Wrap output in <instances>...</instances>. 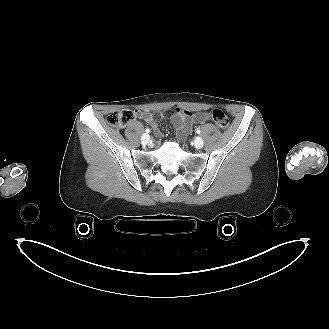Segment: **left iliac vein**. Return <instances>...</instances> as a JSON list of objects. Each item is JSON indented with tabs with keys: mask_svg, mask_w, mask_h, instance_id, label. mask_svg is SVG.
Listing matches in <instances>:
<instances>
[{
	"mask_svg": "<svg viewBox=\"0 0 329 329\" xmlns=\"http://www.w3.org/2000/svg\"><path fill=\"white\" fill-rule=\"evenodd\" d=\"M194 145H195V147L198 148V149L202 148L203 145H204L203 139H202L201 137H197V138H195V140H194Z\"/></svg>",
	"mask_w": 329,
	"mask_h": 329,
	"instance_id": "4c4485c4",
	"label": "left iliac vein"
}]
</instances>
